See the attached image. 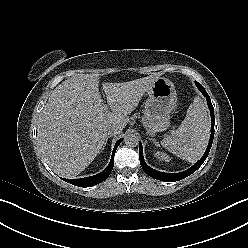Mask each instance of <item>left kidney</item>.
Instances as JSON below:
<instances>
[{
  "label": "left kidney",
  "mask_w": 248,
  "mask_h": 248,
  "mask_svg": "<svg viewBox=\"0 0 248 248\" xmlns=\"http://www.w3.org/2000/svg\"><path fill=\"white\" fill-rule=\"evenodd\" d=\"M155 155L161 160L170 161V157L164 153L157 152Z\"/></svg>",
  "instance_id": "obj_1"
}]
</instances>
